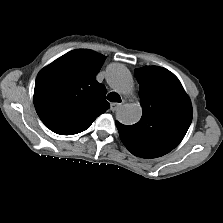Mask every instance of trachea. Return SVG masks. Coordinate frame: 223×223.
Masks as SVG:
<instances>
[{
  "instance_id": "3493384b",
  "label": "trachea",
  "mask_w": 223,
  "mask_h": 223,
  "mask_svg": "<svg viewBox=\"0 0 223 223\" xmlns=\"http://www.w3.org/2000/svg\"><path fill=\"white\" fill-rule=\"evenodd\" d=\"M110 102H121V97L116 92H111L107 95Z\"/></svg>"
}]
</instances>
